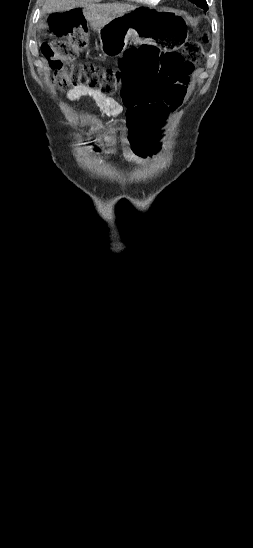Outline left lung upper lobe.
Here are the masks:
<instances>
[{
  "label": "left lung upper lobe",
  "mask_w": 253,
  "mask_h": 548,
  "mask_svg": "<svg viewBox=\"0 0 253 548\" xmlns=\"http://www.w3.org/2000/svg\"><path fill=\"white\" fill-rule=\"evenodd\" d=\"M189 1H191V2H193V3H195V4H200V5H201V4H207V3H206V0H189ZM199 7H200V6H199Z\"/></svg>",
  "instance_id": "obj_1"
}]
</instances>
